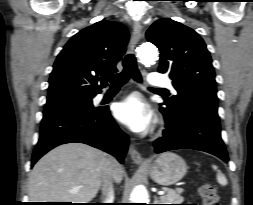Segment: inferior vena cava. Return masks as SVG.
I'll list each match as a JSON object with an SVG mask.
<instances>
[{"instance_id": "inferior-vena-cava-1", "label": "inferior vena cava", "mask_w": 253, "mask_h": 205, "mask_svg": "<svg viewBox=\"0 0 253 205\" xmlns=\"http://www.w3.org/2000/svg\"><path fill=\"white\" fill-rule=\"evenodd\" d=\"M103 203H113L114 191L112 187L111 160L102 177Z\"/></svg>"}]
</instances>
